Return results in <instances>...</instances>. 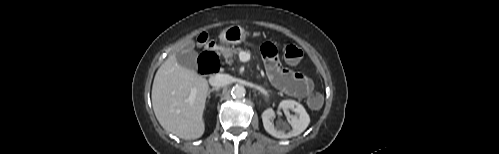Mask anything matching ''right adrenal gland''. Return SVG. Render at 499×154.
I'll return each mask as SVG.
<instances>
[{
    "instance_id": "1",
    "label": "right adrenal gland",
    "mask_w": 499,
    "mask_h": 154,
    "mask_svg": "<svg viewBox=\"0 0 499 154\" xmlns=\"http://www.w3.org/2000/svg\"><path fill=\"white\" fill-rule=\"evenodd\" d=\"M218 90H219L218 88H212V89H210V90L208 91V93H207V97H208V98H210V93H211V92H214V91H218Z\"/></svg>"
}]
</instances>
